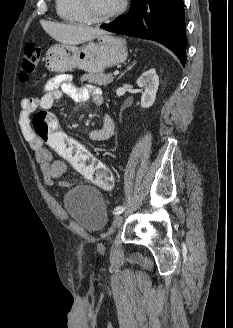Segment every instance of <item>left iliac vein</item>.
I'll list each match as a JSON object with an SVG mask.
<instances>
[{"mask_svg":"<svg viewBox=\"0 0 233 328\" xmlns=\"http://www.w3.org/2000/svg\"><path fill=\"white\" fill-rule=\"evenodd\" d=\"M125 217V214L116 216L112 221V228H116L120 223H122Z\"/></svg>","mask_w":233,"mask_h":328,"instance_id":"4c4485c4","label":"left iliac vein"}]
</instances>
